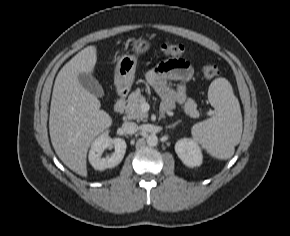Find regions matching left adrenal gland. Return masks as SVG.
Returning a JSON list of instances; mask_svg holds the SVG:
<instances>
[{
  "label": "left adrenal gland",
  "mask_w": 290,
  "mask_h": 236,
  "mask_svg": "<svg viewBox=\"0 0 290 236\" xmlns=\"http://www.w3.org/2000/svg\"><path fill=\"white\" fill-rule=\"evenodd\" d=\"M180 122H181V120L175 122V123L172 124V125H168V126L166 127V129H168V128H173V127H175L177 124H179Z\"/></svg>",
  "instance_id": "obj_1"
}]
</instances>
